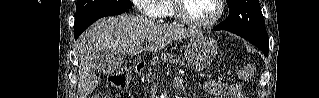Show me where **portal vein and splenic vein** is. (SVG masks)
Segmentation results:
<instances>
[{
  "label": "portal vein and splenic vein",
  "mask_w": 319,
  "mask_h": 98,
  "mask_svg": "<svg viewBox=\"0 0 319 98\" xmlns=\"http://www.w3.org/2000/svg\"><path fill=\"white\" fill-rule=\"evenodd\" d=\"M152 40H153L152 38H149L147 41H148V42H151Z\"/></svg>",
  "instance_id": "1"
}]
</instances>
